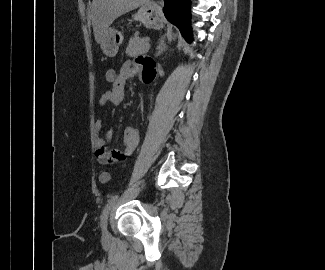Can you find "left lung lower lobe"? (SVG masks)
<instances>
[{"label": "left lung lower lobe", "mask_w": 325, "mask_h": 270, "mask_svg": "<svg viewBox=\"0 0 325 270\" xmlns=\"http://www.w3.org/2000/svg\"><path fill=\"white\" fill-rule=\"evenodd\" d=\"M163 12L169 22L177 26L188 41H192L190 0H164Z\"/></svg>", "instance_id": "obj_1"}]
</instances>
